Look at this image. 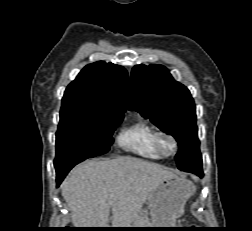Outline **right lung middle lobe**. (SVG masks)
Listing matches in <instances>:
<instances>
[{
	"label": "right lung middle lobe",
	"mask_w": 252,
	"mask_h": 231,
	"mask_svg": "<svg viewBox=\"0 0 252 231\" xmlns=\"http://www.w3.org/2000/svg\"><path fill=\"white\" fill-rule=\"evenodd\" d=\"M122 120V114L81 108L61 109L55 168L107 153L113 143L112 134Z\"/></svg>",
	"instance_id": "1"
}]
</instances>
